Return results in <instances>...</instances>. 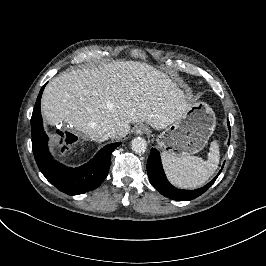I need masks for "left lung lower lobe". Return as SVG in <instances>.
Segmentation results:
<instances>
[{
	"mask_svg": "<svg viewBox=\"0 0 266 266\" xmlns=\"http://www.w3.org/2000/svg\"><path fill=\"white\" fill-rule=\"evenodd\" d=\"M229 131H230V123L227 121ZM224 167V164L222 168ZM222 170V169H221ZM221 170L217 174V176L205 185L202 188L196 190H182L172 186L167 180L165 173L162 168L161 159L159 152L152 148L151 153L148 157L147 161V173L152 185L164 196L173 200H183L189 201L197 198L201 194H203L207 189L215 182L217 177L219 176Z\"/></svg>",
	"mask_w": 266,
	"mask_h": 266,
	"instance_id": "1",
	"label": "left lung lower lobe"
}]
</instances>
